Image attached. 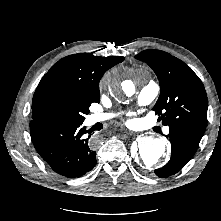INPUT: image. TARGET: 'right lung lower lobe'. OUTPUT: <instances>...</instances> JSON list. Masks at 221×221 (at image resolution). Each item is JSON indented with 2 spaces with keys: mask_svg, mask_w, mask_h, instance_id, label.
Wrapping results in <instances>:
<instances>
[{
  "mask_svg": "<svg viewBox=\"0 0 221 221\" xmlns=\"http://www.w3.org/2000/svg\"><path fill=\"white\" fill-rule=\"evenodd\" d=\"M75 120H32L30 133L35 149L58 174L78 177L96 165L90 130Z\"/></svg>",
  "mask_w": 221,
  "mask_h": 221,
  "instance_id": "right-lung-lower-lobe-1",
  "label": "right lung lower lobe"
}]
</instances>
